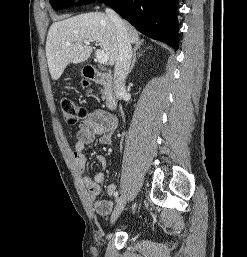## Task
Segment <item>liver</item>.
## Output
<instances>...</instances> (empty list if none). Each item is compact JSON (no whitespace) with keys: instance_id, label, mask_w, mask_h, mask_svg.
I'll list each match as a JSON object with an SVG mask.
<instances>
[{"instance_id":"6515ba94","label":"liver","mask_w":247,"mask_h":257,"mask_svg":"<svg viewBox=\"0 0 247 257\" xmlns=\"http://www.w3.org/2000/svg\"><path fill=\"white\" fill-rule=\"evenodd\" d=\"M131 43L142 41L138 31L124 22ZM98 42L102 51L108 56L110 65L118 58V41L114 23L104 13L90 12L77 15L62 21L54 22L47 35L46 57L53 80H58L69 63L86 61L92 46L84 41ZM66 43H70L67 46Z\"/></svg>"}]
</instances>
